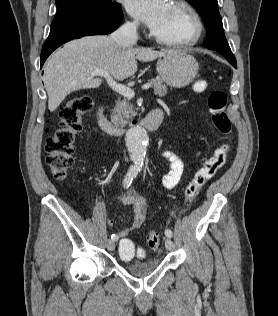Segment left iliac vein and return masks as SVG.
<instances>
[{
	"label": "left iliac vein",
	"mask_w": 278,
	"mask_h": 316,
	"mask_svg": "<svg viewBox=\"0 0 278 316\" xmlns=\"http://www.w3.org/2000/svg\"><path fill=\"white\" fill-rule=\"evenodd\" d=\"M165 247H166V249L169 250V251H171V250L174 249V243H173V241H172L170 238H167V239L165 240Z\"/></svg>",
	"instance_id": "1"
}]
</instances>
